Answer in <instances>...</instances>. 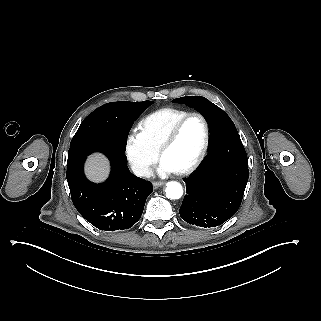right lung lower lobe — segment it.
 I'll list each match as a JSON object with an SVG mask.
<instances>
[{
  "label": "right lung lower lobe",
  "mask_w": 321,
  "mask_h": 321,
  "mask_svg": "<svg viewBox=\"0 0 321 321\" xmlns=\"http://www.w3.org/2000/svg\"><path fill=\"white\" fill-rule=\"evenodd\" d=\"M100 108L116 145L81 144L70 148L66 178L74 206L89 223L103 231L129 229L140 219L146 198L153 191L151 182L128 170L124 154L131 126L144 110L128 102ZM93 152L104 153L111 161V175L105 183H92L84 175V162Z\"/></svg>",
  "instance_id": "1"
}]
</instances>
